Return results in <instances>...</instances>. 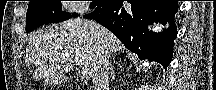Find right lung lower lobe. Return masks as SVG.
I'll return each instance as SVG.
<instances>
[{
    "label": "right lung lower lobe",
    "instance_id": "obj_1",
    "mask_svg": "<svg viewBox=\"0 0 216 90\" xmlns=\"http://www.w3.org/2000/svg\"><path fill=\"white\" fill-rule=\"evenodd\" d=\"M123 7L121 1L101 2L95 11L85 15L94 19L111 32L140 59L159 62L166 69L172 60L177 28L174 23L177 2L129 1ZM154 21L163 25L171 22L169 29L154 33L147 26Z\"/></svg>",
    "mask_w": 216,
    "mask_h": 90
}]
</instances>
